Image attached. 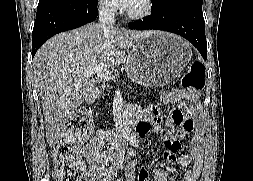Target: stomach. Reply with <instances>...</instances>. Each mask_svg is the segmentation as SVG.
<instances>
[{
	"label": "stomach",
	"mask_w": 253,
	"mask_h": 181,
	"mask_svg": "<svg viewBox=\"0 0 253 181\" xmlns=\"http://www.w3.org/2000/svg\"><path fill=\"white\" fill-rule=\"evenodd\" d=\"M192 58L190 45L181 37L153 31L139 40L125 61L128 77L150 87L169 84Z\"/></svg>",
	"instance_id": "1"
}]
</instances>
